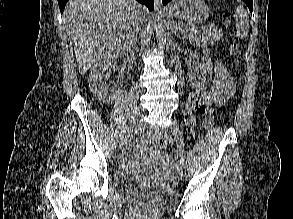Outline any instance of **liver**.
Returning a JSON list of instances; mask_svg holds the SVG:
<instances>
[{"label": "liver", "instance_id": "obj_1", "mask_svg": "<svg viewBox=\"0 0 293 219\" xmlns=\"http://www.w3.org/2000/svg\"><path fill=\"white\" fill-rule=\"evenodd\" d=\"M148 12L134 0H69L63 22L81 75L100 59L126 56L135 40V16Z\"/></svg>", "mask_w": 293, "mask_h": 219}]
</instances>
